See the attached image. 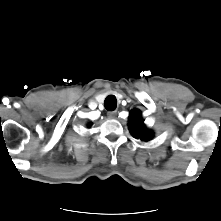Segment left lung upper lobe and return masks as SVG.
I'll use <instances>...</instances> for the list:
<instances>
[{"label": "left lung upper lobe", "mask_w": 221, "mask_h": 221, "mask_svg": "<svg viewBox=\"0 0 221 221\" xmlns=\"http://www.w3.org/2000/svg\"><path fill=\"white\" fill-rule=\"evenodd\" d=\"M129 129L133 137L140 138L142 141H149L153 138V132L145 127L139 110L130 112Z\"/></svg>", "instance_id": "5c2ea615"}]
</instances>
